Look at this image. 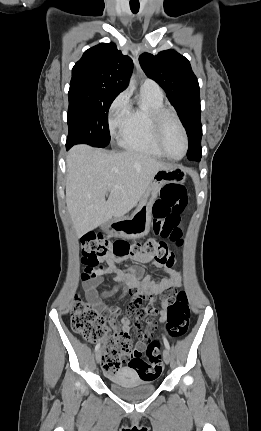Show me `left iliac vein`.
I'll list each match as a JSON object with an SVG mask.
<instances>
[{
  "label": "left iliac vein",
  "instance_id": "left-iliac-vein-1",
  "mask_svg": "<svg viewBox=\"0 0 261 431\" xmlns=\"http://www.w3.org/2000/svg\"><path fill=\"white\" fill-rule=\"evenodd\" d=\"M163 358H164V362L166 364L170 363V361H171V355H170L168 349H164V351H163Z\"/></svg>",
  "mask_w": 261,
  "mask_h": 431
}]
</instances>
